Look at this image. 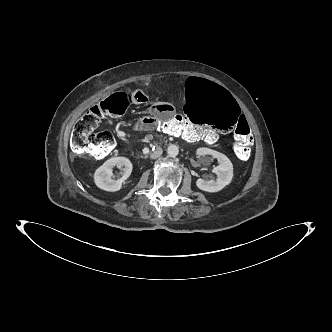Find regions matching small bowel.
Listing matches in <instances>:
<instances>
[{"instance_id":"c3829d8e","label":"small bowel","mask_w":332,"mask_h":332,"mask_svg":"<svg viewBox=\"0 0 332 332\" xmlns=\"http://www.w3.org/2000/svg\"><path fill=\"white\" fill-rule=\"evenodd\" d=\"M131 99L136 104H146L149 102L147 92L143 88H135L131 92ZM176 116V111L174 106L170 102L159 101L155 102L151 106L150 115L140 117L133 124V129L135 131H152L155 126L151 124L150 120L157 117L160 120H172ZM129 123V118L126 115L117 116L114 118L112 115H107L104 118V124L107 127H112L114 124L117 127L126 126ZM210 132V136L213 138L215 133ZM192 141L199 139V134L196 131H190Z\"/></svg>"}]
</instances>
